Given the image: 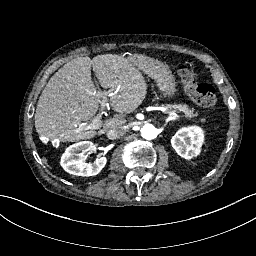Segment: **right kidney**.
I'll use <instances>...</instances> for the list:
<instances>
[{
    "label": "right kidney",
    "mask_w": 256,
    "mask_h": 256,
    "mask_svg": "<svg viewBox=\"0 0 256 256\" xmlns=\"http://www.w3.org/2000/svg\"><path fill=\"white\" fill-rule=\"evenodd\" d=\"M92 147L93 143L91 141H80L69 146L61 157L60 165L66 172L73 175H97L106 165L107 159L100 157L93 163H86L84 153L90 151ZM76 156H79V158H76Z\"/></svg>",
    "instance_id": "ca27d5eb"
}]
</instances>
